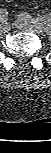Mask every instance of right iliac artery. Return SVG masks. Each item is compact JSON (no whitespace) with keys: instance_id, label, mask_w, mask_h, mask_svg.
<instances>
[{"instance_id":"right-iliac-artery-1","label":"right iliac artery","mask_w":51,"mask_h":153,"mask_svg":"<svg viewBox=\"0 0 51 153\" xmlns=\"http://www.w3.org/2000/svg\"><path fill=\"white\" fill-rule=\"evenodd\" d=\"M8 19V11L5 8H2L0 10V20L2 22H6Z\"/></svg>"}]
</instances>
